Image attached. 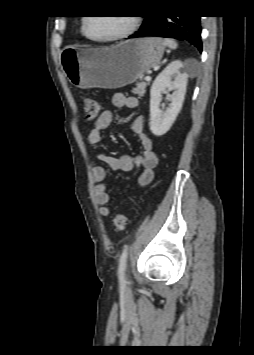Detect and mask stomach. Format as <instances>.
Returning <instances> with one entry per match:
<instances>
[{
  "label": "stomach",
  "mask_w": 254,
  "mask_h": 355,
  "mask_svg": "<svg viewBox=\"0 0 254 355\" xmlns=\"http://www.w3.org/2000/svg\"><path fill=\"white\" fill-rule=\"evenodd\" d=\"M165 43L157 37L124 41L111 47H65L62 69L79 88H120L135 82L162 58Z\"/></svg>",
  "instance_id": "obj_1"
}]
</instances>
